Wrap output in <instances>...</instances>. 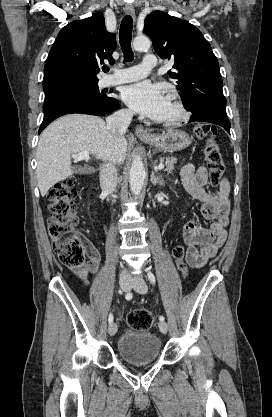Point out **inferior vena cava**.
<instances>
[{
    "label": "inferior vena cava",
    "instance_id": "inferior-vena-cava-1",
    "mask_svg": "<svg viewBox=\"0 0 272 417\" xmlns=\"http://www.w3.org/2000/svg\"><path fill=\"white\" fill-rule=\"evenodd\" d=\"M133 112L128 109H121L106 118L107 128L114 134L126 132L131 123ZM118 172L114 163L106 161L100 169V186L104 192L112 194L116 190ZM127 270L122 272L126 275Z\"/></svg>",
    "mask_w": 272,
    "mask_h": 417
}]
</instances>
